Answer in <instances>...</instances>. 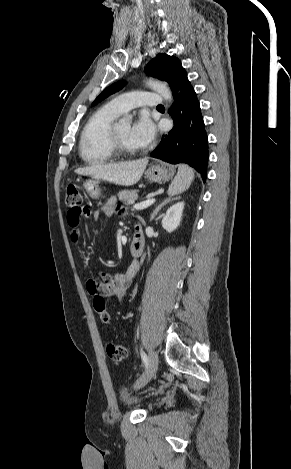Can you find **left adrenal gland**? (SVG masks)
<instances>
[{"label": "left adrenal gland", "instance_id": "obj_1", "mask_svg": "<svg viewBox=\"0 0 291 469\" xmlns=\"http://www.w3.org/2000/svg\"><path fill=\"white\" fill-rule=\"evenodd\" d=\"M180 197H176V198H166L165 200H163L155 209L154 211L152 212L151 216H150V221H152L154 219V217L157 215V213L161 210V208L163 206H165L166 204H168L169 202L173 201V200H178Z\"/></svg>", "mask_w": 291, "mask_h": 469}]
</instances>
